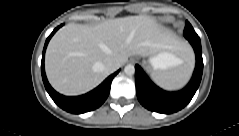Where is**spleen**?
<instances>
[{"mask_svg": "<svg viewBox=\"0 0 239 136\" xmlns=\"http://www.w3.org/2000/svg\"><path fill=\"white\" fill-rule=\"evenodd\" d=\"M190 72V69L176 68L169 71H155L151 74V77L165 89H176L182 87L188 81Z\"/></svg>", "mask_w": 239, "mask_h": 136, "instance_id": "1", "label": "spleen"}]
</instances>
